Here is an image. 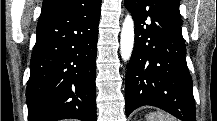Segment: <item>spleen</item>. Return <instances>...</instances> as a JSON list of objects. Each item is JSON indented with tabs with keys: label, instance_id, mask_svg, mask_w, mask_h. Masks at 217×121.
Wrapping results in <instances>:
<instances>
[{
	"label": "spleen",
	"instance_id": "spleen-1",
	"mask_svg": "<svg viewBox=\"0 0 217 121\" xmlns=\"http://www.w3.org/2000/svg\"><path fill=\"white\" fill-rule=\"evenodd\" d=\"M146 121H174V118L162 112H153L146 116Z\"/></svg>",
	"mask_w": 217,
	"mask_h": 121
}]
</instances>
